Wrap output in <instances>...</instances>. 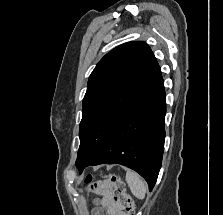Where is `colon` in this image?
I'll return each instance as SVG.
<instances>
[{
	"label": "colon",
	"mask_w": 223,
	"mask_h": 215,
	"mask_svg": "<svg viewBox=\"0 0 223 215\" xmlns=\"http://www.w3.org/2000/svg\"><path fill=\"white\" fill-rule=\"evenodd\" d=\"M93 176L88 175L85 179L87 184L93 183ZM108 181L112 185V193L114 200L123 205L127 215H135V204L131 196L127 193L125 183L122 178L116 173L108 175Z\"/></svg>",
	"instance_id": "5ec220e1"
}]
</instances>
